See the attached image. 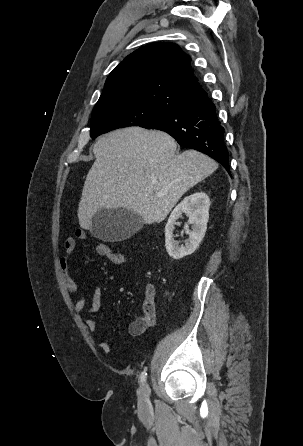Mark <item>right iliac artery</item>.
Wrapping results in <instances>:
<instances>
[{
  "label": "right iliac artery",
  "instance_id": "82829eb1",
  "mask_svg": "<svg viewBox=\"0 0 303 446\" xmlns=\"http://www.w3.org/2000/svg\"><path fill=\"white\" fill-rule=\"evenodd\" d=\"M146 378H147V373H146V371H143L140 375L141 382H145Z\"/></svg>",
  "mask_w": 303,
  "mask_h": 446
}]
</instances>
